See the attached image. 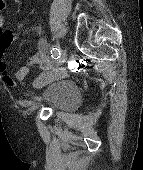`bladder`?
Returning <instances> with one entry per match:
<instances>
[{
    "mask_svg": "<svg viewBox=\"0 0 143 170\" xmlns=\"http://www.w3.org/2000/svg\"><path fill=\"white\" fill-rule=\"evenodd\" d=\"M37 106H47L54 110L70 112L81 103V93L77 84L69 79H58L47 84L37 96L29 98Z\"/></svg>",
    "mask_w": 143,
    "mask_h": 170,
    "instance_id": "bladder-1",
    "label": "bladder"
}]
</instances>
